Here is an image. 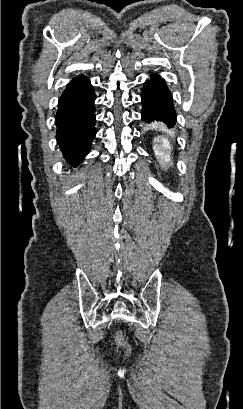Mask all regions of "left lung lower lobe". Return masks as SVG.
I'll use <instances>...</instances> for the list:
<instances>
[{"mask_svg": "<svg viewBox=\"0 0 243 409\" xmlns=\"http://www.w3.org/2000/svg\"><path fill=\"white\" fill-rule=\"evenodd\" d=\"M143 121H160L168 128H172L176 123V111L173 106V98L170 90L163 78L159 75H152L150 80L145 82L141 93Z\"/></svg>", "mask_w": 243, "mask_h": 409, "instance_id": "obj_1", "label": "left lung lower lobe"}]
</instances>
